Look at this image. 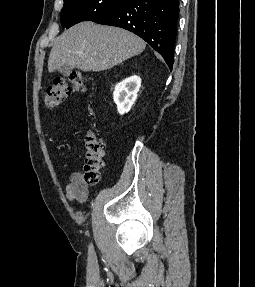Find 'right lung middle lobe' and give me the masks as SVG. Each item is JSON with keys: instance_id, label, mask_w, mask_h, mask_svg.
<instances>
[{"instance_id": "dd1d6c3e", "label": "right lung middle lobe", "mask_w": 255, "mask_h": 287, "mask_svg": "<svg viewBox=\"0 0 255 287\" xmlns=\"http://www.w3.org/2000/svg\"><path fill=\"white\" fill-rule=\"evenodd\" d=\"M125 0H64L60 21L63 27L82 22L92 21L101 13L116 7Z\"/></svg>"}]
</instances>
